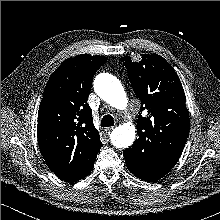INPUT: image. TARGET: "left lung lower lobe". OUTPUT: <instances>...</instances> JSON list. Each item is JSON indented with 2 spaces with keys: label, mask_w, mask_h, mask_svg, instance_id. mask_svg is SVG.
Returning a JSON list of instances; mask_svg holds the SVG:
<instances>
[{
  "label": "left lung lower lobe",
  "mask_w": 220,
  "mask_h": 220,
  "mask_svg": "<svg viewBox=\"0 0 220 220\" xmlns=\"http://www.w3.org/2000/svg\"><path fill=\"white\" fill-rule=\"evenodd\" d=\"M124 158L129 171L145 181H157L173 168L161 160L139 158L134 147L124 150Z\"/></svg>",
  "instance_id": "left-lung-lower-lobe-1"
}]
</instances>
